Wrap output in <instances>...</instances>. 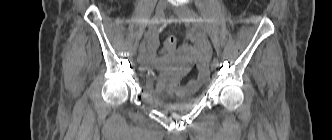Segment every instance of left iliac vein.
<instances>
[{
    "instance_id": "left-iliac-vein-1",
    "label": "left iliac vein",
    "mask_w": 332,
    "mask_h": 140,
    "mask_svg": "<svg viewBox=\"0 0 332 140\" xmlns=\"http://www.w3.org/2000/svg\"><path fill=\"white\" fill-rule=\"evenodd\" d=\"M176 13L187 26L190 25L193 17V10L188 5L183 4L176 7ZM211 68L215 69L217 68V65L213 62Z\"/></svg>"
}]
</instances>
